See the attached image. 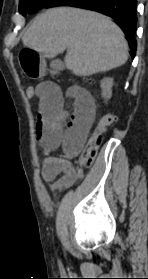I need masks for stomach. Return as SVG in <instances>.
Here are the masks:
<instances>
[{"label":"stomach","mask_w":148,"mask_h":279,"mask_svg":"<svg viewBox=\"0 0 148 279\" xmlns=\"http://www.w3.org/2000/svg\"><path fill=\"white\" fill-rule=\"evenodd\" d=\"M18 63L22 75L30 78V82H45V78L53 75V70L42 50H19Z\"/></svg>","instance_id":"0dacf381"}]
</instances>
